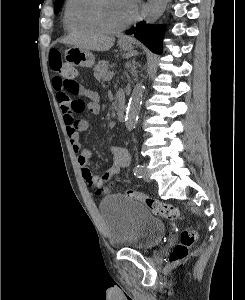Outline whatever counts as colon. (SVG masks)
<instances>
[{
	"label": "colon",
	"mask_w": 245,
	"mask_h": 300,
	"mask_svg": "<svg viewBox=\"0 0 245 300\" xmlns=\"http://www.w3.org/2000/svg\"><path fill=\"white\" fill-rule=\"evenodd\" d=\"M50 68L56 73V76L64 83L66 89L70 92L76 90L77 82L74 80L76 76V69L65 63L62 60L61 53L57 50L50 52ZM85 102L81 99H76L73 101V108L77 111L84 109ZM91 184L94 186H100L99 179H92ZM127 195L130 198L141 201L153 214L161 216L167 220L175 221L182 218V213L180 210L168 203L162 202L160 200L151 198L141 192L128 190ZM197 234L194 230L186 229L181 233L180 243L174 248L171 256L170 262L175 263L187 257L189 249L196 241Z\"/></svg>",
	"instance_id": "5ec220e1"
}]
</instances>
